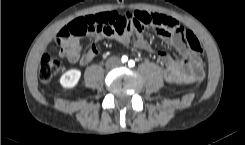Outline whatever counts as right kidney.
I'll return each mask as SVG.
<instances>
[{"label": "right kidney", "instance_id": "obj_1", "mask_svg": "<svg viewBox=\"0 0 245 145\" xmlns=\"http://www.w3.org/2000/svg\"><path fill=\"white\" fill-rule=\"evenodd\" d=\"M81 77V71L78 69H71L65 72L59 82L60 85L64 88H73L77 85L79 79Z\"/></svg>", "mask_w": 245, "mask_h": 145}]
</instances>
